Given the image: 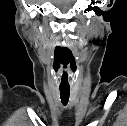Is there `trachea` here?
<instances>
[{
	"label": "trachea",
	"mask_w": 127,
	"mask_h": 126,
	"mask_svg": "<svg viewBox=\"0 0 127 126\" xmlns=\"http://www.w3.org/2000/svg\"><path fill=\"white\" fill-rule=\"evenodd\" d=\"M70 96V89L60 88V98L63 105H67Z\"/></svg>",
	"instance_id": "1"
}]
</instances>
